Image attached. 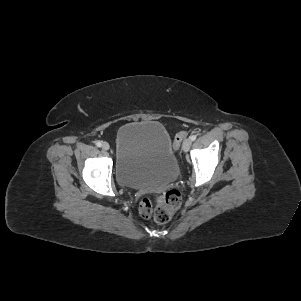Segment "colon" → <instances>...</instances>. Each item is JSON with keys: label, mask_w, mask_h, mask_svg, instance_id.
<instances>
[{"label": "colon", "mask_w": 301, "mask_h": 301, "mask_svg": "<svg viewBox=\"0 0 301 301\" xmlns=\"http://www.w3.org/2000/svg\"><path fill=\"white\" fill-rule=\"evenodd\" d=\"M187 133L185 131L179 132L174 139L173 148L178 150L183 140H185ZM181 193L177 189H172L159 195L153 201L149 197H144L139 205V212L142 217L146 219H153L158 224L168 223L173 214L181 205Z\"/></svg>", "instance_id": "5ec220e1"}]
</instances>
